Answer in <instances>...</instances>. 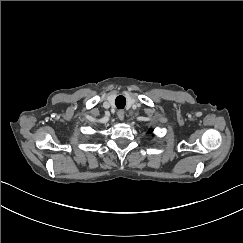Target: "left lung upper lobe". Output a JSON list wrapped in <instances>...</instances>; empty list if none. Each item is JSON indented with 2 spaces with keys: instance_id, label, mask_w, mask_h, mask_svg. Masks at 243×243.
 I'll return each instance as SVG.
<instances>
[{
  "instance_id": "obj_1",
  "label": "left lung upper lobe",
  "mask_w": 243,
  "mask_h": 243,
  "mask_svg": "<svg viewBox=\"0 0 243 243\" xmlns=\"http://www.w3.org/2000/svg\"><path fill=\"white\" fill-rule=\"evenodd\" d=\"M152 132V130H149V133H151Z\"/></svg>"
}]
</instances>
